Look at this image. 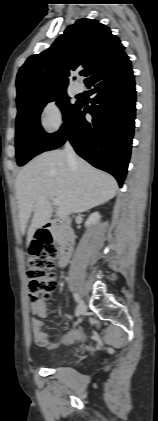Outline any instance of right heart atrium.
Here are the masks:
<instances>
[{"instance_id":"obj_1","label":"right heart atrium","mask_w":158,"mask_h":421,"mask_svg":"<svg viewBox=\"0 0 158 421\" xmlns=\"http://www.w3.org/2000/svg\"><path fill=\"white\" fill-rule=\"evenodd\" d=\"M64 123V114L60 103L51 99L46 101L39 112V124L47 134H53L60 130Z\"/></svg>"}]
</instances>
